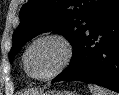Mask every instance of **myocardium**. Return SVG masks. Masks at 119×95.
<instances>
[{
	"mask_svg": "<svg viewBox=\"0 0 119 95\" xmlns=\"http://www.w3.org/2000/svg\"><path fill=\"white\" fill-rule=\"evenodd\" d=\"M44 40H56L60 42L62 46L64 47V58L62 62L60 63V65L55 69L54 72H52L51 74L47 76L39 77L31 73L29 66H28V56H29L31 49L37 43L44 41ZM73 57H74V46L68 37H66L65 35L61 33H48V34H44V35L37 37L29 44L23 56V64H24V69L26 73L31 78L38 80V81H49L55 78L56 76H58L60 73H62L70 65V63L73 60Z\"/></svg>",
	"mask_w": 119,
	"mask_h": 95,
	"instance_id": "1",
	"label": "myocardium"
}]
</instances>
